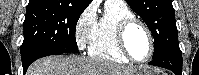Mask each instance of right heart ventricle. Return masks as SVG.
Here are the masks:
<instances>
[{
	"mask_svg": "<svg viewBox=\"0 0 199 75\" xmlns=\"http://www.w3.org/2000/svg\"><path fill=\"white\" fill-rule=\"evenodd\" d=\"M131 16L133 14L127 6H106L105 14L97 22L88 46L89 55L118 64H128L129 60L118 46L116 28L123 19Z\"/></svg>",
	"mask_w": 199,
	"mask_h": 75,
	"instance_id": "1",
	"label": "right heart ventricle"
}]
</instances>
